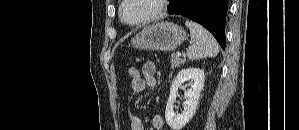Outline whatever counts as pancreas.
Returning a JSON list of instances; mask_svg holds the SVG:
<instances>
[{
	"label": "pancreas",
	"instance_id": "pancreas-1",
	"mask_svg": "<svg viewBox=\"0 0 299 130\" xmlns=\"http://www.w3.org/2000/svg\"><path fill=\"white\" fill-rule=\"evenodd\" d=\"M185 63V59H181L180 57L176 56L175 54L171 55V68H179L181 64Z\"/></svg>",
	"mask_w": 299,
	"mask_h": 130
}]
</instances>
